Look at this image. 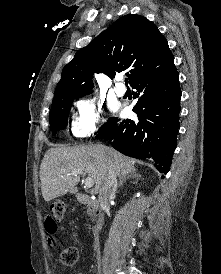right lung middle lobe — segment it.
Instances as JSON below:
<instances>
[{"mask_svg": "<svg viewBox=\"0 0 221 274\" xmlns=\"http://www.w3.org/2000/svg\"><path fill=\"white\" fill-rule=\"evenodd\" d=\"M73 99H77V97L66 96L56 98L52 101V107L49 114V123L51 125L53 134H55L57 130L63 129L67 125V117ZM111 120L112 118H110L108 122L99 129L98 132L103 130Z\"/></svg>", "mask_w": 221, "mask_h": 274, "instance_id": "right-lung-middle-lobe-1", "label": "right lung middle lobe"}]
</instances>
